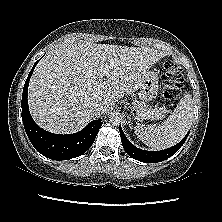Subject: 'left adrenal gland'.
Returning a JSON list of instances; mask_svg holds the SVG:
<instances>
[{
	"label": "left adrenal gland",
	"instance_id": "a2214340",
	"mask_svg": "<svg viewBox=\"0 0 222 222\" xmlns=\"http://www.w3.org/2000/svg\"><path fill=\"white\" fill-rule=\"evenodd\" d=\"M128 120H129V121H128L129 127L132 128L131 117L128 116Z\"/></svg>",
	"mask_w": 222,
	"mask_h": 222
}]
</instances>
